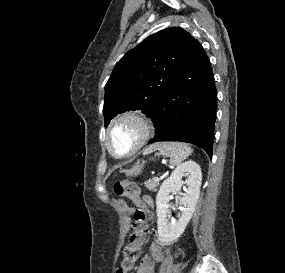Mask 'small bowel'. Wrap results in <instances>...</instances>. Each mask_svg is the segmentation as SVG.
<instances>
[{
  "label": "small bowel",
  "instance_id": "obj_1",
  "mask_svg": "<svg viewBox=\"0 0 285 273\" xmlns=\"http://www.w3.org/2000/svg\"><path fill=\"white\" fill-rule=\"evenodd\" d=\"M141 199L146 201L149 205V210L154 206V200L150 195H144ZM135 211V210H134ZM149 256H144L141 259L139 266L136 269V273H154L155 265L157 262H161L163 259V250L160 244L153 242L149 246Z\"/></svg>",
  "mask_w": 285,
  "mask_h": 273
}]
</instances>
